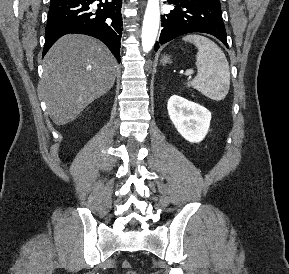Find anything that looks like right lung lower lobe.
Returning <instances> with one entry per match:
<instances>
[{"label":"right lung lower lobe","mask_w":289,"mask_h":274,"mask_svg":"<svg viewBox=\"0 0 289 274\" xmlns=\"http://www.w3.org/2000/svg\"><path fill=\"white\" fill-rule=\"evenodd\" d=\"M121 4L122 0H51L43 56L61 36L82 33L100 39L119 60Z\"/></svg>","instance_id":"1"}]
</instances>
